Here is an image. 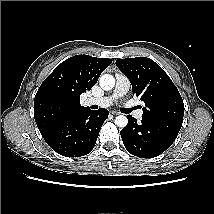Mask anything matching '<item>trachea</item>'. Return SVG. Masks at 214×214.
<instances>
[{"label":"trachea","instance_id":"obj_1","mask_svg":"<svg viewBox=\"0 0 214 214\" xmlns=\"http://www.w3.org/2000/svg\"><path fill=\"white\" fill-rule=\"evenodd\" d=\"M134 109H135V107L134 108H129V109L126 110V113H130Z\"/></svg>","mask_w":214,"mask_h":214}]
</instances>
